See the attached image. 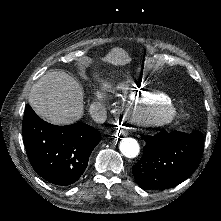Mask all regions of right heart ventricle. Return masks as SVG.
Masks as SVG:
<instances>
[{"mask_svg":"<svg viewBox=\"0 0 221 221\" xmlns=\"http://www.w3.org/2000/svg\"><path fill=\"white\" fill-rule=\"evenodd\" d=\"M118 90L120 93L121 101H131L135 103H142L143 107H170L171 106V93L167 91H158L155 93V87L150 84H140L138 79H123L119 83Z\"/></svg>","mask_w":221,"mask_h":221,"instance_id":"obj_1","label":"right heart ventricle"}]
</instances>
